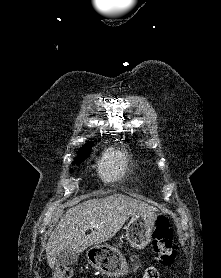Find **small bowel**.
Masks as SVG:
<instances>
[{
    "instance_id": "obj_1",
    "label": "small bowel",
    "mask_w": 221,
    "mask_h": 278,
    "mask_svg": "<svg viewBox=\"0 0 221 278\" xmlns=\"http://www.w3.org/2000/svg\"><path fill=\"white\" fill-rule=\"evenodd\" d=\"M143 278H154V277H151V276L146 272L145 275L143 276Z\"/></svg>"
}]
</instances>
